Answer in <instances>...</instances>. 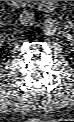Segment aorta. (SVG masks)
Listing matches in <instances>:
<instances>
[{
    "mask_svg": "<svg viewBox=\"0 0 74 122\" xmlns=\"http://www.w3.org/2000/svg\"><path fill=\"white\" fill-rule=\"evenodd\" d=\"M58 29V23L55 19L48 18L43 24V31L46 35H53Z\"/></svg>",
    "mask_w": 74,
    "mask_h": 122,
    "instance_id": "1",
    "label": "aorta"
}]
</instances>
